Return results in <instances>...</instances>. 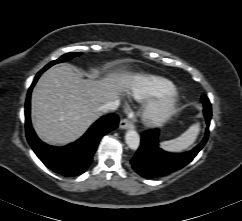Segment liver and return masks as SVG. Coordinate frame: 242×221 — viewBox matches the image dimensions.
<instances>
[{"label":"liver","instance_id":"6515ba94","mask_svg":"<svg viewBox=\"0 0 242 221\" xmlns=\"http://www.w3.org/2000/svg\"><path fill=\"white\" fill-rule=\"evenodd\" d=\"M135 77L128 71L113 72L100 80L84 79L69 66L47 70L31 97L32 123L45 143L64 146L80 138L102 115L99 108L118 101L132 88Z\"/></svg>","mask_w":242,"mask_h":221}]
</instances>
